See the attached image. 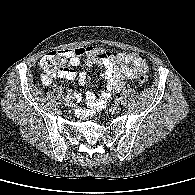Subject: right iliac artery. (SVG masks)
<instances>
[{
    "label": "right iliac artery",
    "instance_id": "right-iliac-artery-1",
    "mask_svg": "<svg viewBox=\"0 0 195 195\" xmlns=\"http://www.w3.org/2000/svg\"><path fill=\"white\" fill-rule=\"evenodd\" d=\"M67 98H68V99H72L73 96H72L71 94H68V95H67Z\"/></svg>",
    "mask_w": 195,
    "mask_h": 195
}]
</instances>
